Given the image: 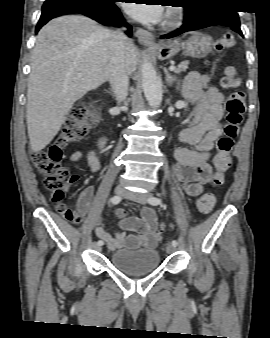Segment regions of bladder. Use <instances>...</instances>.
<instances>
[{
  "label": "bladder",
  "instance_id": "bladder-1",
  "mask_svg": "<svg viewBox=\"0 0 270 338\" xmlns=\"http://www.w3.org/2000/svg\"><path fill=\"white\" fill-rule=\"evenodd\" d=\"M160 257L156 248L132 250L121 247L114 250L109 264L120 273L132 278L143 277L158 269Z\"/></svg>",
  "mask_w": 270,
  "mask_h": 338
}]
</instances>
